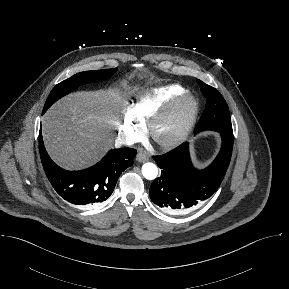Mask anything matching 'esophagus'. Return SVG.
Segmentation results:
<instances>
[{"mask_svg":"<svg viewBox=\"0 0 289 289\" xmlns=\"http://www.w3.org/2000/svg\"><path fill=\"white\" fill-rule=\"evenodd\" d=\"M136 160L138 162H146L149 160V157L143 152H138V154L136 156Z\"/></svg>","mask_w":289,"mask_h":289,"instance_id":"obj_1","label":"esophagus"}]
</instances>
